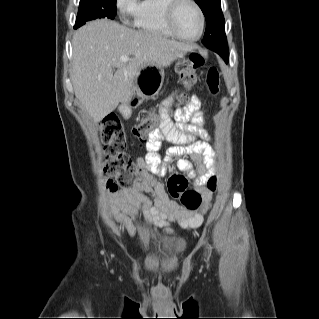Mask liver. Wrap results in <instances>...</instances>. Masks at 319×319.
<instances>
[{
	"label": "liver",
	"instance_id": "6515ba94",
	"mask_svg": "<svg viewBox=\"0 0 319 319\" xmlns=\"http://www.w3.org/2000/svg\"><path fill=\"white\" fill-rule=\"evenodd\" d=\"M72 82L76 98L95 123L119 103H128L139 69L167 67L193 46L148 31H136L108 19L86 23L73 35ZM132 56L121 61L120 56ZM116 72L113 73V69Z\"/></svg>",
	"mask_w": 319,
	"mask_h": 319
}]
</instances>
